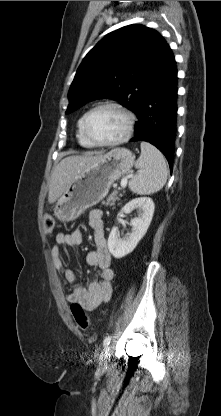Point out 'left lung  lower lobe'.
<instances>
[{
  "instance_id": "1",
  "label": "left lung lower lobe",
  "mask_w": 221,
  "mask_h": 416,
  "mask_svg": "<svg viewBox=\"0 0 221 416\" xmlns=\"http://www.w3.org/2000/svg\"><path fill=\"white\" fill-rule=\"evenodd\" d=\"M135 136L130 142L147 141L166 157L173 168L177 119V69L166 45L154 80L141 97L136 113Z\"/></svg>"
}]
</instances>
